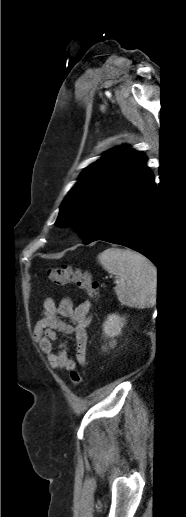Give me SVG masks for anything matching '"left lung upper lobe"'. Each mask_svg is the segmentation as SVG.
Segmentation results:
<instances>
[{
    "mask_svg": "<svg viewBox=\"0 0 186 517\" xmlns=\"http://www.w3.org/2000/svg\"><path fill=\"white\" fill-rule=\"evenodd\" d=\"M147 170L146 157L127 146L105 153L81 173L55 224L75 227L88 244L106 213Z\"/></svg>",
    "mask_w": 186,
    "mask_h": 517,
    "instance_id": "left-lung-upper-lobe-1",
    "label": "left lung upper lobe"
}]
</instances>
